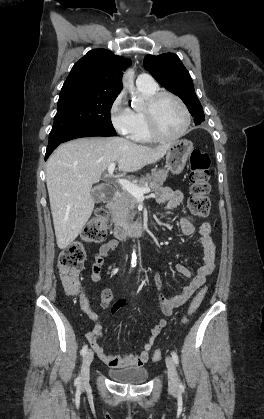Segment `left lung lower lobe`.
<instances>
[{
	"label": "left lung lower lobe",
	"instance_id": "0a47b994",
	"mask_svg": "<svg viewBox=\"0 0 264 419\" xmlns=\"http://www.w3.org/2000/svg\"><path fill=\"white\" fill-rule=\"evenodd\" d=\"M194 121H195V124L196 125H199L202 121H204V117H200L198 119H194Z\"/></svg>",
	"mask_w": 264,
	"mask_h": 419
}]
</instances>
